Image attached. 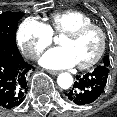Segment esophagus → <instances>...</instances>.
Masks as SVG:
<instances>
[{
  "mask_svg": "<svg viewBox=\"0 0 117 117\" xmlns=\"http://www.w3.org/2000/svg\"><path fill=\"white\" fill-rule=\"evenodd\" d=\"M47 72L49 74H51V75H57V74H59V72L58 71H55V70H48Z\"/></svg>",
  "mask_w": 117,
  "mask_h": 117,
  "instance_id": "34e87169",
  "label": "esophagus"
}]
</instances>
